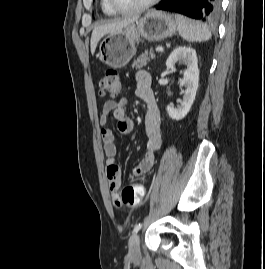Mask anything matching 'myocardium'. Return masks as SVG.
Wrapping results in <instances>:
<instances>
[{"label": "myocardium", "instance_id": "1", "mask_svg": "<svg viewBox=\"0 0 265 269\" xmlns=\"http://www.w3.org/2000/svg\"><path fill=\"white\" fill-rule=\"evenodd\" d=\"M111 8L117 12V13H133V12H141L144 11L153 5H155L160 0H148L143 4H140L138 6L129 7V8H122L118 6L115 2V0H108Z\"/></svg>", "mask_w": 265, "mask_h": 269}]
</instances>
